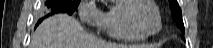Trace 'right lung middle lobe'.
I'll use <instances>...</instances> for the list:
<instances>
[{
  "label": "right lung middle lobe",
  "mask_w": 213,
  "mask_h": 48,
  "mask_svg": "<svg viewBox=\"0 0 213 48\" xmlns=\"http://www.w3.org/2000/svg\"><path fill=\"white\" fill-rule=\"evenodd\" d=\"M80 0H47L45 2L47 8V16L54 13L66 12L72 14L79 5ZM42 21V19H40ZM38 21L39 24L41 21Z\"/></svg>",
  "instance_id": "1"
}]
</instances>
